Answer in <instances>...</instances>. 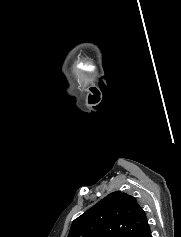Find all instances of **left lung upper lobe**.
<instances>
[{
	"instance_id": "5c2ea615",
	"label": "left lung upper lobe",
	"mask_w": 181,
	"mask_h": 237,
	"mask_svg": "<svg viewBox=\"0 0 181 237\" xmlns=\"http://www.w3.org/2000/svg\"><path fill=\"white\" fill-rule=\"evenodd\" d=\"M148 226L136 198L115 191L75 219L68 237H140Z\"/></svg>"
}]
</instances>
